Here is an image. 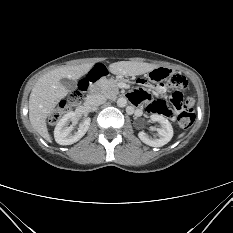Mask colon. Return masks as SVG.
<instances>
[{
  "label": "colon",
  "mask_w": 233,
  "mask_h": 233,
  "mask_svg": "<svg viewBox=\"0 0 233 233\" xmlns=\"http://www.w3.org/2000/svg\"><path fill=\"white\" fill-rule=\"evenodd\" d=\"M168 85L175 86L178 88L170 100L167 103L164 100H156L149 104L152 112L164 114L166 116H174L175 112L177 115L175 117L176 123L182 129H188L192 126L195 120L194 114V100L190 97L184 96V90L187 87V81L184 77L180 75H174L168 80ZM83 82L80 83L79 88L68 96V98L63 101L59 108L54 110L49 116V123H57L62 115L67 112L70 108L78 105L83 99V92L86 90Z\"/></svg>",
  "instance_id": "5ec220e1"
}]
</instances>
